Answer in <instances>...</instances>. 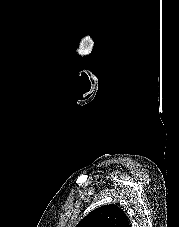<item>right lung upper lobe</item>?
Here are the masks:
<instances>
[{
    "label": "right lung upper lobe",
    "mask_w": 179,
    "mask_h": 227,
    "mask_svg": "<svg viewBox=\"0 0 179 227\" xmlns=\"http://www.w3.org/2000/svg\"><path fill=\"white\" fill-rule=\"evenodd\" d=\"M76 227H130L124 211L114 204L101 206L85 216Z\"/></svg>",
    "instance_id": "obj_1"
}]
</instances>
